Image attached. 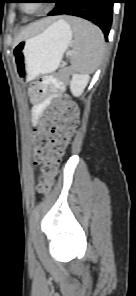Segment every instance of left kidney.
<instances>
[{"instance_id":"1","label":"left kidney","mask_w":136,"mask_h":296,"mask_svg":"<svg viewBox=\"0 0 136 296\" xmlns=\"http://www.w3.org/2000/svg\"><path fill=\"white\" fill-rule=\"evenodd\" d=\"M89 75L74 73L70 81V90L73 96L79 97L82 95L85 87L89 82Z\"/></svg>"}]
</instances>
